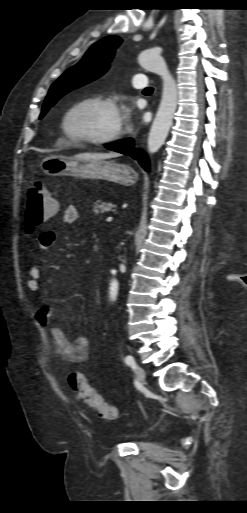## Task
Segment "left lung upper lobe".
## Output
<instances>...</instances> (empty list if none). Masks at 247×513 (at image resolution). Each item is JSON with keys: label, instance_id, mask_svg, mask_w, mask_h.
I'll return each instance as SVG.
<instances>
[{"label": "left lung upper lobe", "instance_id": "obj_1", "mask_svg": "<svg viewBox=\"0 0 247 513\" xmlns=\"http://www.w3.org/2000/svg\"><path fill=\"white\" fill-rule=\"evenodd\" d=\"M121 42L122 39L118 36H107L93 44L76 65L66 70L53 83L44 101L40 118L63 95L103 75Z\"/></svg>", "mask_w": 247, "mask_h": 513}]
</instances>
